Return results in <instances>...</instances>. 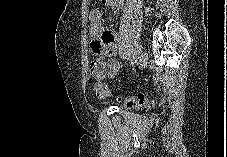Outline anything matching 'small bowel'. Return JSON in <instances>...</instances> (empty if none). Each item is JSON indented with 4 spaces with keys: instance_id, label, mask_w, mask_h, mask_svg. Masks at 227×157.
<instances>
[{
    "instance_id": "c3829d8e",
    "label": "small bowel",
    "mask_w": 227,
    "mask_h": 157,
    "mask_svg": "<svg viewBox=\"0 0 227 157\" xmlns=\"http://www.w3.org/2000/svg\"><path fill=\"white\" fill-rule=\"evenodd\" d=\"M107 5L112 6L116 10H121L125 4V0H103ZM90 19V35L94 38L93 54H105L113 57L118 53V42L116 35L107 30L102 23V13L99 9H93L89 14ZM109 69L108 75L114 77L120 70V64L115 59H110L107 63Z\"/></svg>"
}]
</instances>
